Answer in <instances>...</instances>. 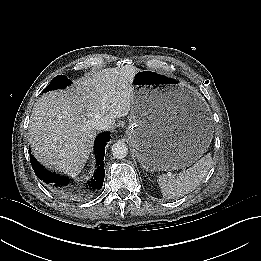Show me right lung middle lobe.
Segmentation results:
<instances>
[{
    "label": "right lung middle lobe",
    "mask_w": 261,
    "mask_h": 261,
    "mask_svg": "<svg viewBox=\"0 0 261 261\" xmlns=\"http://www.w3.org/2000/svg\"><path fill=\"white\" fill-rule=\"evenodd\" d=\"M70 83L71 81L65 75H58L44 89V92L66 88Z\"/></svg>",
    "instance_id": "obj_1"
}]
</instances>
